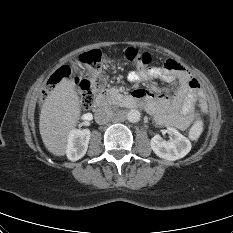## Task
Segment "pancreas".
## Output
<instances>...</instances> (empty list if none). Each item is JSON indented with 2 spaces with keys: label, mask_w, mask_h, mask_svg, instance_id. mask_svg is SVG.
Segmentation results:
<instances>
[{
  "label": "pancreas",
  "mask_w": 233,
  "mask_h": 233,
  "mask_svg": "<svg viewBox=\"0 0 233 233\" xmlns=\"http://www.w3.org/2000/svg\"><path fill=\"white\" fill-rule=\"evenodd\" d=\"M110 102L113 104H121L125 98L115 88L108 90Z\"/></svg>",
  "instance_id": "pancreas-1"
}]
</instances>
